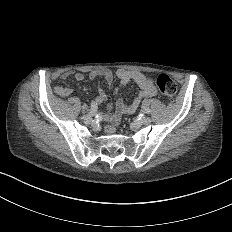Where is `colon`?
I'll list each match as a JSON object with an SVG mask.
<instances>
[{
	"label": "colon",
	"mask_w": 232,
	"mask_h": 232,
	"mask_svg": "<svg viewBox=\"0 0 232 232\" xmlns=\"http://www.w3.org/2000/svg\"><path fill=\"white\" fill-rule=\"evenodd\" d=\"M145 81L149 85L158 86V90L162 91L161 98L165 101H176L175 91H177L176 81H171L165 74L151 71L145 76ZM61 98H68V93H61Z\"/></svg>",
	"instance_id": "colon-1"
}]
</instances>
